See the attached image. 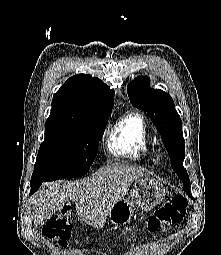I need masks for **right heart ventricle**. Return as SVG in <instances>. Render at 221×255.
Wrapping results in <instances>:
<instances>
[{
  "label": "right heart ventricle",
  "mask_w": 221,
  "mask_h": 255,
  "mask_svg": "<svg viewBox=\"0 0 221 255\" xmlns=\"http://www.w3.org/2000/svg\"><path fill=\"white\" fill-rule=\"evenodd\" d=\"M110 154L141 161L152 152V138L145 119L137 113H126L111 128L106 141Z\"/></svg>",
  "instance_id": "obj_1"
}]
</instances>
